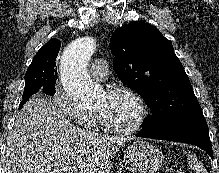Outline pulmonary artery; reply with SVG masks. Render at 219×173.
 <instances>
[{
  "instance_id": "1",
  "label": "pulmonary artery",
  "mask_w": 219,
  "mask_h": 173,
  "mask_svg": "<svg viewBox=\"0 0 219 173\" xmlns=\"http://www.w3.org/2000/svg\"><path fill=\"white\" fill-rule=\"evenodd\" d=\"M90 75L96 80H104L108 76V63L104 58H96L90 65Z\"/></svg>"
}]
</instances>
